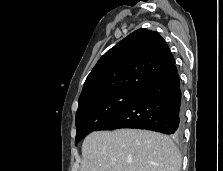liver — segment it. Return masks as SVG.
I'll use <instances>...</instances> for the list:
<instances>
[{
    "instance_id": "obj_1",
    "label": "liver",
    "mask_w": 223,
    "mask_h": 171,
    "mask_svg": "<svg viewBox=\"0 0 223 171\" xmlns=\"http://www.w3.org/2000/svg\"><path fill=\"white\" fill-rule=\"evenodd\" d=\"M80 171H180L170 137L147 130L95 131L82 144Z\"/></svg>"
}]
</instances>
